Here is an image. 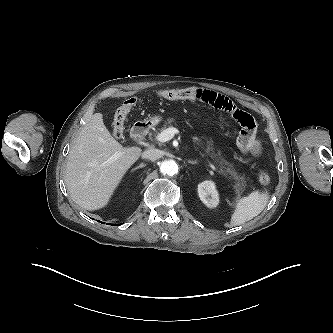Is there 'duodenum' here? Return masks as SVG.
Wrapping results in <instances>:
<instances>
[{"label":"duodenum","mask_w":333,"mask_h":333,"mask_svg":"<svg viewBox=\"0 0 333 333\" xmlns=\"http://www.w3.org/2000/svg\"><path fill=\"white\" fill-rule=\"evenodd\" d=\"M149 129V126L147 123L141 122L137 123L136 125L133 126L131 129L130 135L134 139H138L143 137Z\"/></svg>","instance_id":"410a0bca"}]
</instances>
